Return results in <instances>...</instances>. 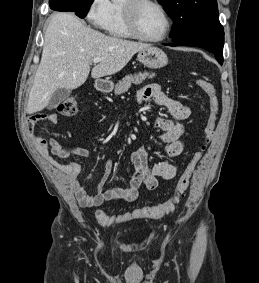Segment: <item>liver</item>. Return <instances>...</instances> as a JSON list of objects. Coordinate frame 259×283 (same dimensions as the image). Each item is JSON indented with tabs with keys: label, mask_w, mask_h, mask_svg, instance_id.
Masks as SVG:
<instances>
[{
	"label": "liver",
	"mask_w": 259,
	"mask_h": 283,
	"mask_svg": "<svg viewBox=\"0 0 259 283\" xmlns=\"http://www.w3.org/2000/svg\"><path fill=\"white\" fill-rule=\"evenodd\" d=\"M150 45L107 36L84 25L72 13H55L44 34L41 62L29 94L27 113L42 111L57 89H76L91 71L99 79L119 72L133 55Z\"/></svg>",
	"instance_id": "obj_1"
}]
</instances>
